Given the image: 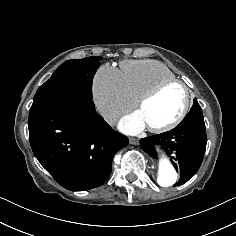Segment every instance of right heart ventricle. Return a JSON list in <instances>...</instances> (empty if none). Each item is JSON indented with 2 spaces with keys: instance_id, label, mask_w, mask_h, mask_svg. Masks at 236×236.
I'll list each match as a JSON object with an SVG mask.
<instances>
[{
  "instance_id": "1",
  "label": "right heart ventricle",
  "mask_w": 236,
  "mask_h": 236,
  "mask_svg": "<svg viewBox=\"0 0 236 236\" xmlns=\"http://www.w3.org/2000/svg\"><path fill=\"white\" fill-rule=\"evenodd\" d=\"M121 67L128 92L134 101L158 82L176 78L167 65L155 60H125Z\"/></svg>"
}]
</instances>
